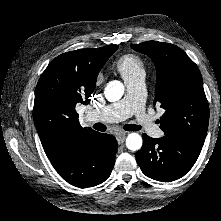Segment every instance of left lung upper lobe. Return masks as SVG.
<instances>
[{"mask_svg": "<svg viewBox=\"0 0 221 221\" xmlns=\"http://www.w3.org/2000/svg\"><path fill=\"white\" fill-rule=\"evenodd\" d=\"M131 48L149 56L156 66L155 103L165 109L160 118L161 130L202 148L209 106L195 63L181 48L169 43L147 41Z\"/></svg>", "mask_w": 221, "mask_h": 221, "instance_id": "1", "label": "left lung upper lobe"}]
</instances>
